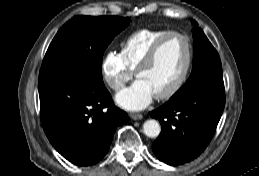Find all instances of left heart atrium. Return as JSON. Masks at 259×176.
Returning <instances> with one entry per match:
<instances>
[{
	"instance_id": "39dd6f15",
	"label": "left heart atrium",
	"mask_w": 259,
	"mask_h": 176,
	"mask_svg": "<svg viewBox=\"0 0 259 176\" xmlns=\"http://www.w3.org/2000/svg\"><path fill=\"white\" fill-rule=\"evenodd\" d=\"M154 96L151 88L144 81L137 79L130 87L118 93L115 100L124 109L138 111L147 107Z\"/></svg>"
}]
</instances>
